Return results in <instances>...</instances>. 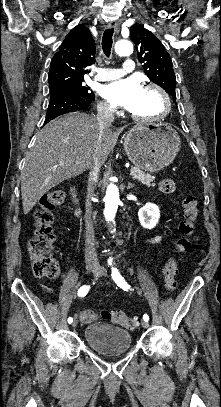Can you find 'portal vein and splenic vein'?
<instances>
[{
	"mask_svg": "<svg viewBox=\"0 0 221 407\" xmlns=\"http://www.w3.org/2000/svg\"><path fill=\"white\" fill-rule=\"evenodd\" d=\"M129 175H130V176H133V175H134V171L131 170L130 173H129Z\"/></svg>",
	"mask_w": 221,
	"mask_h": 407,
	"instance_id": "portal-vein-and-splenic-vein-1",
	"label": "portal vein and splenic vein"
}]
</instances>
